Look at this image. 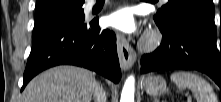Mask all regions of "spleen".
I'll list each match as a JSON object with an SVG mask.
<instances>
[{
  "mask_svg": "<svg viewBox=\"0 0 221 102\" xmlns=\"http://www.w3.org/2000/svg\"><path fill=\"white\" fill-rule=\"evenodd\" d=\"M170 79L180 90L190 89L197 102H217L210 84L194 73L177 71L171 74Z\"/></svg>",
  "mask_w": 221,
  "mask_h": 102,
  "instance_id": "3e777b00",
  "label": "spleen"
}]
</instances>
